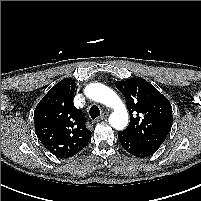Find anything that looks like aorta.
<instances>
[{"label": "aorta", "mask_w": 201, "mask_h": 201, "mask_svg": "<svg viewBox=\"0 0 201 201\" xmlns=\"http://www.w3.org/2000/svg\"><path fill=\"white\" fill-rule=\"evenodd\" d=\"M85 94L88 98L114 110L109 117V123L113 128L122 130L127 126V109L112 89L100 83H92L85 88Z\"/></svg>", "instance_id": "aorta-1"}]
</instances>
